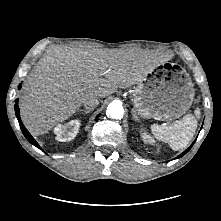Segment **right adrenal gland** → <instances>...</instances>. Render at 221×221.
<instances>
[{"label":"right adrenal gland","mask_w":221,"mask_h":221,"mask_svg":"<svg viewBox=\"0 0 221 221\" xmlns=\"http://www.w3.org/2000/svg\"><path fill=\"white\" fill-rule=\"evenodd\" d=\"M91 111V109H81L79 110L80 113L82 114H88Z\"/></svg>","instance_id":"obj_1"}]
</instances>
